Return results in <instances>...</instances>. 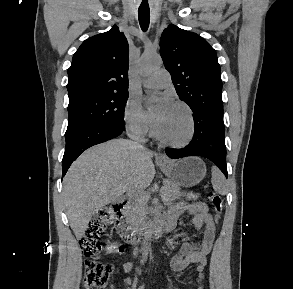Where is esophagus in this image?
<instances>
[{
    "label": "esophagus",
    "instance_id": "34e87169",
    "mask_svg": "<svg viewBox=\"0 0 293 289\" xmlns=\"http://www.w3.org/2000/svg\"><path fill=\"white\" fill-rule=\"evenodd\" d=\"M156 159L159 161H166V158L160 152L157 154Z\"/></svg>",
    "mask_w": 293,
    "mask_h": 289
}]
</instances>
